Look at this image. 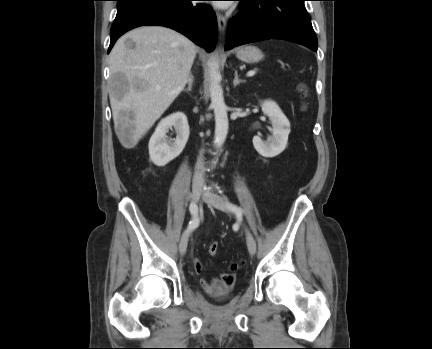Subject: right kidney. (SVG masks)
<instances>
[{"instance_id":"1","label":"right kidney","mask_w":432,"mask_h":349,"mask_svg":"<svg viewBox=\"0 0 432 349\" xmlns=\"http://www.w3.org/2000/svg\"><path fill=\"white\" fill-rule=\"evenodd\" d=\"M172 127L177 134L174 142L166 139V133ZM189 134V125L184 113L176 112L162 119L149 141L151 161L157 166H165L178 157L188 141Z\"/></svg>"}]
</instances>
